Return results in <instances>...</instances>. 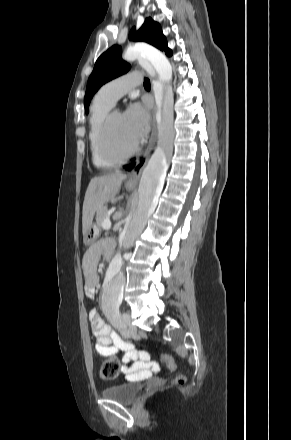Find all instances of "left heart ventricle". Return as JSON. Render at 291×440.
I'll return each mask as SVG.
<instances>
[{"instance_id": "obj_1", "label": "left heart ventricle", "mask_w": 291, "mask_h": 440, "mask_svg": "<svg viewBox=\"0 0 291 440\" xmlns=\"http://www.w3.org/2000/svg\"><path fill=\"white\" fill-rule=\"evenodd\" d=\"M109 138L112 148L120 153L128 151L137 143L121 113L116 114L112 120Z\"/></svg>"}]
</instances>
